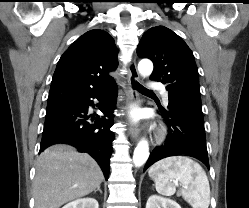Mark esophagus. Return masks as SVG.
Masks as SVG:
<instances>
[{
    "label": "esophagus",
    "mask_w": 249,
    "mask_h": 208,
    "mask_svg": "<svg viewBox=\"0 0 249 208\" xmlns=\"http://www.w3.org/2000/svg\"><path fill=\"white\" fill-rule=\"evenodd\" d=\"M128 77H127V86H128V93H127V104H131L138 99V93L135 90L136 81L139 80V73L137 71L136 62L132 60L128 65ZM140 130L138 125H131L129 127V135L133 141H137L139 138Z\"/></svg>",
    "instance_id": "obj_1"
}]
</instances>
